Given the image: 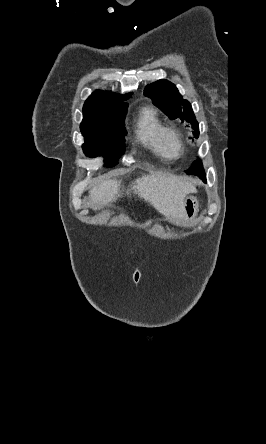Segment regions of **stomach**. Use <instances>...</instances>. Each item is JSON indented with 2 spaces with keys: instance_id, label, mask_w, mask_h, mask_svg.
<instances>
[{
  "instance_id": "obj_1",
  "label": "stomach",
  "mask_w": 266,
  "mask_h": 444,
  "mask_svg": "<svg viewBox=\"0 0 266 444\" xmlns=\"http://www.w3.org/2000/svg\"><path fill=\"white\" fill-rule=\"evenodd\" d=\"M199 210L198 201L194 196H187L183 202L184 220L191 223L197 216Z\"/></svg>"
}]
</instances>
